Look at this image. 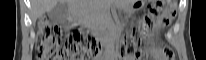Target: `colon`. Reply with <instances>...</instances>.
Instances as JSON below:
<instances>
[{"instance_id": "colon-1", "label": "colon", "mask_w": 206, "mask_h": 60, "mask_svg": "<svg viewBox=\"0 0 206 60\" xmlns=\"http://www.w3.org/2000/svg\"><path fill=\"white\" fill-rule=\"evenodd\" d=\"M175 5L174 0L153 1L146 18L125 39L124 51L138 52V46L147 35L150 21L159 15L168 21L174 13ZM98 49L95 37L86 29L74 27L69 35L61 39L60 29L47 17L43 16L37 21V60H87ZM162 51L167 58L173 59V53L169 48Z\"/></svg>"}]
</instances>
